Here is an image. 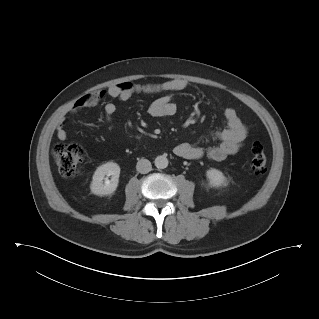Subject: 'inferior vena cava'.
Wrapping results in <instances>:
<instances>
[{
	"label": "inferior vena cava",
	"mask_w": 319,
	"mask_h": 319,
	"mask_svg": "<svg viewBox=\"0 0 319 319\" xmlns=\"http://www.w3.org/2000/svg\"><path fill=\"white\" fill-rule=\"evenodd\" d=\"M136 169L139 173L146 174L152 169L151 162L147 159L142 158L137 162Z\"/></svg>",
	"instance_id": "inferior-vena-cava-1"
}]
</instances>
